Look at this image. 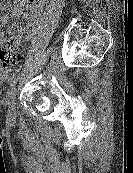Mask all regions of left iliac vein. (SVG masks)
Returning <instances> with one entry per match:
<instances>
[{"mask_svg": "<svg viewBox=\"0 0 133 173\" xmlns=\"http://www.w3.org/2000/svg\"><path fill=\"white\" fill-rule=\"evenodd\" d=\"M16 93L17 90L16 88H14L13 90H11V92L8 95V112H7V122L9 124L14 123L15 121V115H16V111H15V98H16Z\"/></svg>", "mask_w": 133, "mask_h": 173, "instance_id": "obj_1", "label": "left iliac vein"}]
</instances>
